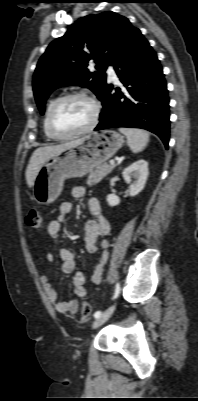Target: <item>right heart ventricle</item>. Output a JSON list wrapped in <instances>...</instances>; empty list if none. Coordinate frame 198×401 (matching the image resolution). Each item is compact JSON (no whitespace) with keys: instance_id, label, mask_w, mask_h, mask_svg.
Instances as JSON below:
<instances>
[{"instance_id":"1","label":"right heart ventricle","mask_w":198,"mask_h":401,"mask_svg":"<svg viewBox=\"0 0 198 401\" xmlns=\"http://www.w3.org/2000/svg\"><path fill=\"white\" fill-rule=\"evenodd\" d=\"M55 100H56L55 98H52V99L49 100V102H48V104H47V106H46L45 116H44V119H43V131H44V134H45L46 138L49 139V140H51V139H53V138L49 135V133H48V131H47V128H46V116H47V113H48L49 108L51 107L52 103H53Z\"/></svg>"}]
</instances>
